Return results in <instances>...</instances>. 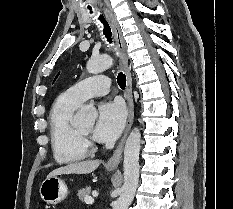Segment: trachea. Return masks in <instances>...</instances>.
Returning a JSON list of instances; mask_svg holds the SVG:
<instances>
[{"mask_svg": "<svg viewBox=\"0 0 233 209\" xmlns=\"http://www.w3.org/2000/svg\"><path fill=\"white\" fill-rule=\"evenodd\" d=\"M88 9L91 11V7H88ZM99 20L101 21V23L103 24V34L105 35V37L107 38V40L112 43V32H111V28L108 25L107 21L104 19V17L102 15L99 16ZM117 83L120 86L121 89H125L126 87V76L125 74H123L122 72H120L117 76Z\"/></svg>", "mask_w": 233, "mask_h": 209, "instance_id": "3493384b", "label": "trachea"}]
</instances>
